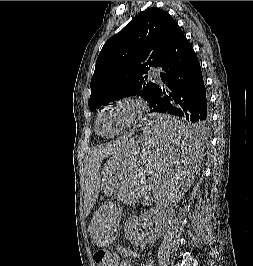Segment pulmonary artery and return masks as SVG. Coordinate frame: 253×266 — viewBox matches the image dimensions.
<instances>
[{"mask_svg": "<svg viewBox=\"0 0 253 266\" xmlns=\"http://www.w3.org/2000/svg\"><path fill=\"white\" fill-rule=\"evenodd\" d=\"M149 76L155 82H157V83L161 82V76H160V69L159 68H151L149 71Z\"/></svg>", "mask_w": 253, "mask_h": 266, "instance_id": "e3ab8cb5", "label": "pulmonary artery"}]
</instances>
